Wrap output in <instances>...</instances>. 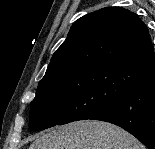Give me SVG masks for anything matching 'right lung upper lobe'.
<instances>
[{
	"instance_id": "cb5924a9",
	"label": "right lung upper lobe",
	"mask_w": 155,
	"mask_h": 149,
	"mask_svg": "<svg viewBox=\"0 0 155 149\" xmlns=\"http://www.w3.org/2000/svg\"><path fill=\"white\" fill-rule=\"evenodd\" d=\"M112 67L130 69L146 78L155 76V53L146 25L120 7L79 18L53 54L41 81Z\"/></svg>"
}]
</instances>
